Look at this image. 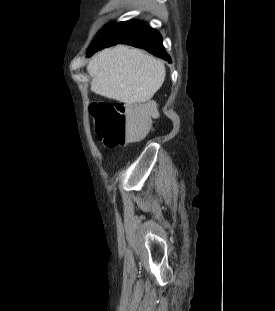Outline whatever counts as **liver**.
Returning <instances> with one entry per match:
<instances>
[{
    "mask_svg": "<svg viewBox=\"0 0 275 311\" xmlns=\"http://www.w3.org/2000/svg\"><path fill=\"white\" fill-rule=\"evenodd\" d=\"M87 71L93 92L126 104L149 101L166 75L162 61L122 45L101 51L89 61Z\"/></svg>",
    "mask_w": 275,
    "mask_h": 311,
    "instance_id": "1",
    "label": "liver"
}]
</instances>
